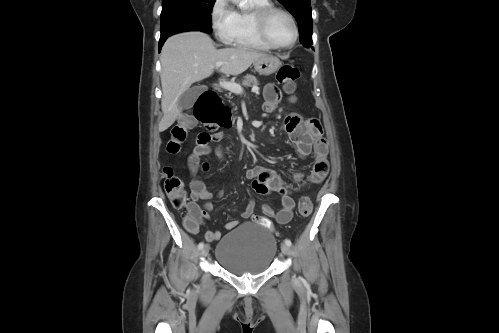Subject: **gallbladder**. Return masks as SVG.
Instances as JSON below:
<instances>
[{"label":"gallbladder","instance_id":"1","mask_svg":"<svg viewBox=\"0 0 499 333\" xmlns=\"http://www.w3.org/2000/svg\"><path fill=\"white\" fill-rule=\"evenodd\" d=\"M206 90L205 86H194L186 90L179 98L178 105L181 108L189 109L193 106L197 98Z\"/></svg>","mask_w":499,"mask_h":333}]
</instances>
